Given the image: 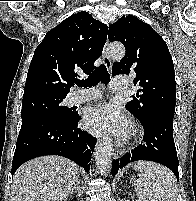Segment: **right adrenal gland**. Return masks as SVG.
<instances>
[{"instance_id": "obj_1", "label": "right adrenal gland", "mask_w": 196, "mask_h": 201, "mask_svg": "<svg viewBox=\"0 0 196 201\" xmlns=\"http://www.w3.org/2000/svg\"><path fill=\"white\" fill-rule=\"evenodd\" d=\"M77 192H78V196H80V194L82 193V187L80 186V181L78 180V177L75 180V184L72 187L70 194L77 193Z\"/></svg>"}]
</instances>
